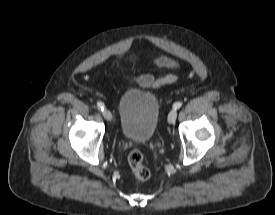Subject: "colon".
Listing matches in <instances>:
<instances>
[{
  "mask_svg": "<svg viewBox=\"0 0 275 215\" xmlns=\"http://www.w3.org/2000/svg\"><path fill=\"white\" fill-rule=\"evenodd\" d=\"M128 164L138 180L145 181L149 179L150 170L143 164V154L139 149L135 148L129 153Z\"/></svg>",
  "mask_w": 275,
  "mask_h": 215,
  "instance_id": "colon-1",
  "label": "colon"
}]
</instances>
